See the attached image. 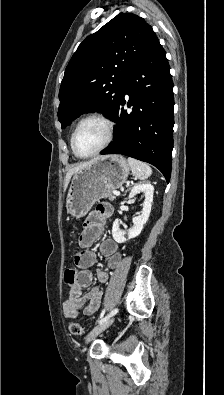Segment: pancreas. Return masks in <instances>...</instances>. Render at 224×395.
I'll return each mask as SVG.
<instances>
[{"instance_id": "1", "label": "pancreas", "mask_w": 224, "mask_h": 395, "mask_svg": "<svg viewBox=\"0 0 224 395\" xmlns=\"http://www.w3.org/2000/svg\"><path fill=\"white\" fill-rule=\"evenodd\" d=\"M106 197H108V199H109L110 201H113V200H115V198H116V197L113 195V191L109 192V193L107 194Z\"/></svg>"}]
</instances>
